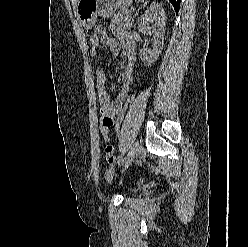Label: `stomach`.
<instances>
[{"label": "stomach", "instance_id": "obj_1", "mask_svg": "<svg viewBox=\"0 0 248 247\" xmlns=\"http://www.w3.org/2000/svg\"><path fill=\"white\" fill-rule=\"evenodd\" d=\"M133 0H79L75 14L85 29L92 28L98 16L109 17L117 9H125Z\"/></svg>", "mask_w": 248, "mask_h": 247}]
</instances>
